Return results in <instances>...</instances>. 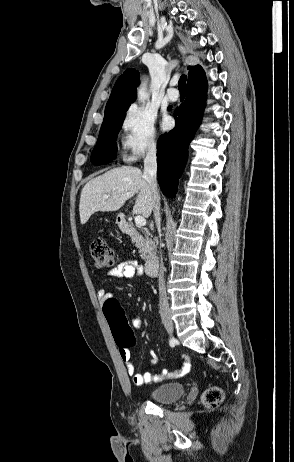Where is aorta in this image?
Returning <instances> with one entry per match:
<instances>
[{
  "mask_svg": "<svg viewBox=\"0 0 294 462\" xmlns=\"http://www.w3.org/2000/svg\"><path fill=\"white\" fill-rule=\"evenodd\" d=\"M148 97L149 95L147 93L146 83H142L138 89V100L140 102H144L146 99H148Z\"/></svg>",
  "mask_w": 294,
  "mask_h": 462,
  "instance_id": "aorta-1",
  "label": "aorta"
}]
</instances>
